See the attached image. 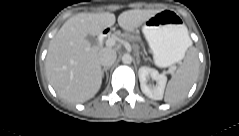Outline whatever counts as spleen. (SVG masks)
I'll list each match as a JSON object with an SVG mask.
<instances>
[{"mask_svg":"<svg viewBox=\"0 0 239 136\" xmlns=\"http://www.w3.org/2000/svg\"><path fill=\"white\" fill-rule=\"evenodd\" d=\"M189 46L192 41L188 36ZM199 62L194 51L185 59L183 65L176 71L167 84L164 101L167 103H177L183 100L198 76Z\"/></svg>","mask_w":239,"mask_h":136,"instance_id":"spleen-1","label":"spleen"}]
</instances>
